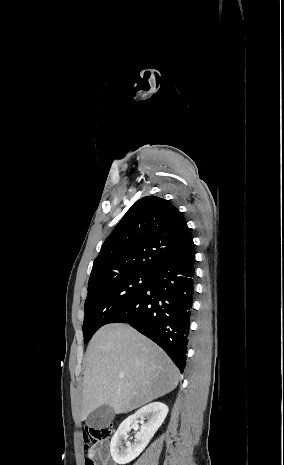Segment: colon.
<instances>
[{
    "instance_id": "obj_1",
    "label": "colon",
    "mask_w": 284,
    "mask_h": 465,
    "mask_svg": "<svg viewBox=\"0 0 284 465\" xmlns=\"http://www.w3.org/2000/svg\"><path fill=\"white\" fill-rule=\"evenodd\" d=\"M113 434V430L108 424L91 425L83 436V449L89 452L99 443L109 439ZM84 465H95L91 458L84 460Z\"/></svg>"
}]
</instances>
